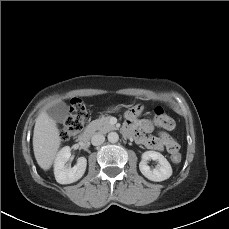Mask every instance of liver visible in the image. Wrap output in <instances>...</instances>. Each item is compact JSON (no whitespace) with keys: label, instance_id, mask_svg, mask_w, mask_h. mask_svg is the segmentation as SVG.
<instances>
[{"label":"liver","instance_id":"obj_1","mask_svg":"<svg viewBox=\"0 0 229 229\" xmlns=\"http://www.w3.org/2000/svg\"><path fill=\"white\" fill-rule=\"evenodd\" d=\"M61 145L58 126L45 111L36 118L33 133V150L38 165L43 170L51 168Z\"/></svg>","mask_w":229,"mask_h":229}]
</instances>
